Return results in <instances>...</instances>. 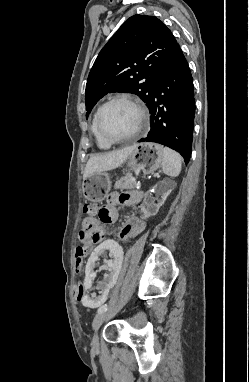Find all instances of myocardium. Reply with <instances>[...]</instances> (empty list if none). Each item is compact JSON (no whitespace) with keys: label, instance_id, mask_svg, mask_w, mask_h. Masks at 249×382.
I'll return each mask as SVG.
<instances>
[{"label":"myocardium","instance_id":"obj_1","mask_svg":"<svg viewBox=\"0 0 249 382\" xmlns=\"http://www.w3.org/2000/svg\"><path fill=\"white\" fill-rule=\"evenodd\" d=\"M115 102L129 103L138 111V114H139L138 126H137L135 132L128 135V136L120 137V138H114V137L107 135L105 133V131L103 130V127H102L103 112L109 105H111ZM148 122H149L148 114L145 111V109L143 108V106L137 100H135L134 98L127 96V95H118V96H114V97L108 99L105 103H103L99 107V109L97 111V117H96V124H97V130L99 132V135L102 137V139H104L105 141H107L108 143H111V144L127 142V141H131L133 139H136L148 127Z\"/></svg>","mask_w":249,"mask_h":382}]
</instances>
